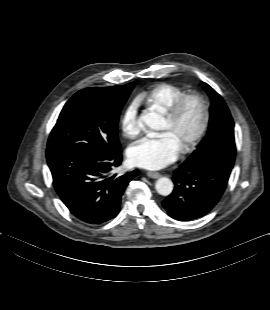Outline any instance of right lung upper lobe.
I'll return each mask as SVG.
<instances>
[{"label":"right lung upper lobe","mask_w":270,"mask_h":310,"mask_svg":"<svg viewBox=\"0 0 270 310\" xmlns=\"http://www.w3.org/2000/svg\"><path fill=\"white\" fill-rule=\"evenodd\" d=\"M109 88L116 90V91H125L128 88V84L124 85V86H113V87H109Z\"/></svg>","instance_id":"1"}]
</instances>
